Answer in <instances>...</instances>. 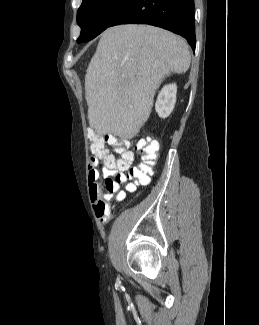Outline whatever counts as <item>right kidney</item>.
<instances>
[{"label":"right kidney","instance_id":"1","mask_svg":"<svg viewBox=\"0 0 259 325\" xmlns=\"http://www.w3.org/2000/svg\"><path fill=\"white\" fill-rule=\"evenodd\" d=\"M177 86L176 84L166 85L159 92L155 109L159 117L167 118L173 111L176 103Z\"/></svg>","mask_w":259,"mask_h":325}]
</instances>
